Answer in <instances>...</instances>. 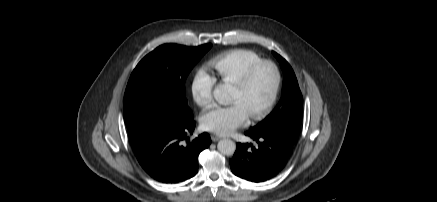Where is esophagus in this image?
Wrapping results in <instances>:
<instances>
[{"label":"esophagus","instance_id":"1","mask_svg":"<svg viewBox=\"0 0 437 202\" xmlns=\"http://www.w3.org/2000/svg\"><path fill=\"white\" fill-rule=\"evenodd\" d=\"M211 139H212L213 142H217V141H219L221 139V137L213 134V135H211Z\"/></svg>","mask_w":437,"mask_h":202}]
</instances>
